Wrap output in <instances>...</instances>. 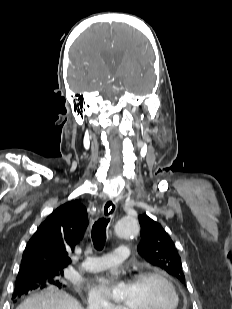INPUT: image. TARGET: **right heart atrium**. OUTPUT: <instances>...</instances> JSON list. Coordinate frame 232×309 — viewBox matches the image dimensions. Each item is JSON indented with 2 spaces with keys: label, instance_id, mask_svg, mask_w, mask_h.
I'll return each instance as SVG.
<instances>
[{
  "label": "right heart atrium",
  "instance_id": "right-heart-atrium-1",
  "mask_svg": "<svg viewBox=\"0 0 232 309\" xmlns=\"http://www.w3.org/2000/svg\"><path fill=\"white\" fill-rule=\"evenodd\" d=\"M88 305L91 309H121L94 290L89 295Z\"/></svg>",
  "mask_w": 232,
  "mask_h": 309
}]
</instances>
